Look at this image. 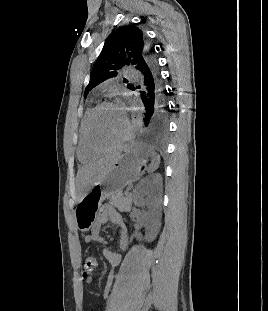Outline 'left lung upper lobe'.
<instances>
[{
    "label": "left lung upper lobe",
    "mask_w": 268,
    "mask_h": 311,
    "mask_svg": "<svg viewBox=\"0 0 268 311\" xmlns=\"http://www.w3.org/2000/svg\"><path fill=\"white\" fill-rule=\"evenodd\" d=\"M143 32L136 26L128 25L116 29L106 40L90 75L84 97L101 82L115 77L123 66H133L138 70L139 63L147 57Z\"/></svg>",
    "instance_id": "left-lung-upper-lobe-1"
}]
</instances>
